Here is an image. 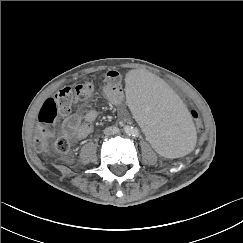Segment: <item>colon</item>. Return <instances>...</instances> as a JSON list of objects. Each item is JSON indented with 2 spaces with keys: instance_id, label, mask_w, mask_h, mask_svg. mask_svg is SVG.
Returning a JSON list of instances; mask_svg holds the SVG:
<instances>
[{
  "instance_id": "colon-1",
  "label": "colon",
  "mask_w": 243,
  "mask_h": 243,
  "mask_svg": "<svg viewBox=\"0 0 243 243\" xmlns=\"http://www.w3.org/2000/svg\"><path fill=\"white\" fill-rule=\"evenodd\" d=\"M94 86L90 82H83L74 87H65L57 91L53 97L43 103L38 114V125L34 134V146L37 150H44L50 139L55 135V120L59 114H67L72 106L79 101L92 97ZM187 110L194 121L197 140H204L203 123L200 112L193 104L187 105ZM54 147L60 153H66L70 144L64 137L54 140Z\"/></svg>"
}]
</instances>
